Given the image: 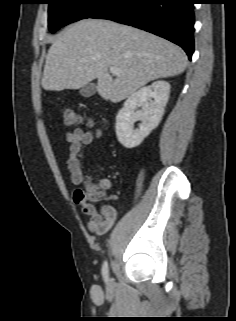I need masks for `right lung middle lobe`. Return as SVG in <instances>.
I'll return each mask as SVG.
<instances>
[{"instance_id":"1","label":"right lung middle lobe","mask_w":236,"mask_h":321,"mask_svg":"<svg viewBox=\"0 0 236 321\" xmlns=\"http://www.w3.org/2000/svg\"><path fill=\"white\" fill-rule=\"evenodd\" d=\"M111 0H47L49 4V30L54 33L61 26L89 18Z\"/></svg>"}]
</instances>
